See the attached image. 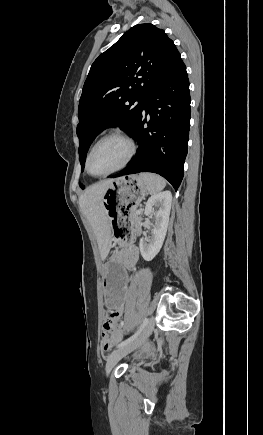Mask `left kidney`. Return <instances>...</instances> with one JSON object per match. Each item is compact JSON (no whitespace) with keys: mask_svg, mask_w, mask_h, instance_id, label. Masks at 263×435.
<instances>
[{"mask_svg":"<svg viewBox=\"0 0 263 435\" xmlns=\"http://www.w3.org/2000/svg\"><path fill=\"white\" fill-rule=\"evenodd\" d=\"M172 203V193L168 190L152 195L146 202L144 214L155 216V226L149 238H141L139 247L144 260L151 261L160 251L167 232ZM154 210H156L154 212Z\"/></svg>","mask_w":263,"mask_h":435,"instance_id":"1","label":"left kidney"}]
</instances>
